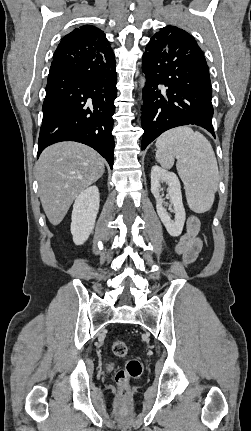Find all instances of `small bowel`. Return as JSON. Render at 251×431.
<instances>
[{"label": "small bowel", "mask_w": 251, "mask_h": 431, "mask_svg": "<svg viewBox=\"0 0 251 431\" xmlns=\"http://www.w3.org/2000/svg\"><path fill=\"white\" fill-rule=\"evenodd\" d=\"M200 222L196 216L187 219L185 231L179 236L175 245V252L185 265L196 262L202 249V240L198 236Z\"/></svg>", "instance_id": "c3829d8e"}]
</instances>
